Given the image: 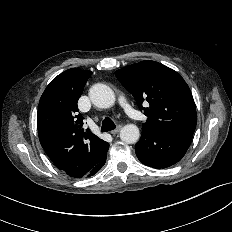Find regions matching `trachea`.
<instances>
[{
  "label": "trachea",
  "instance_id": "obj_1",
  "mask_svg": "<svg viewBox=\"0 0 232 232\" xmlns=\"http://www.w3.org/2000/svg\"><path fill=\"white\" fill-rule=\"evenodd\" d=\"M115 128L116 126H115V123L112 121V119L109 117H106L102 122L101 132H108Z\"/></svg>",
  "mask_w": 232,
  "mask_h": 232
}]
</instances>
